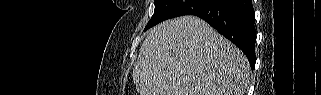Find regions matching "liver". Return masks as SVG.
Returning a JSON list of instances; mask_svg holds the SVG:
<instances>
[{
  "mask_svg": "<svg viewBox=\"0 0 321 95\" xmlns=\"http://www.w3.org/2000/svg\"><path fill=\"white\" fill-rule=\"evenodd\" d=\"M132 76L139 95H244L250 66L234 44L189 15L147 32Z\"/></svg>",
  "mask_w": 321,
  "mask_h": 95,
  "instance_id": "obj_1",
  "label": "liver"
}]
</instances>
